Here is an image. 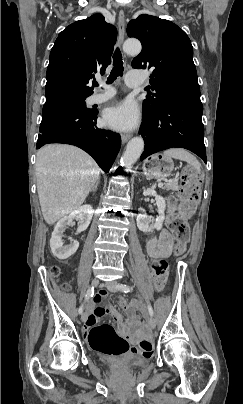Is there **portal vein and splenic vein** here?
I'll return each instance as SVG.
<instances>
[{"label": "portal vein and splenic vein", "instance_id": "portal-vein-and-splenic-vein-1", "mask_svg": "<svg viewBox=\"0 0 243 404\" xmlns=\"http://www.w3.org/2000/svg\"><path fill=\"white\" fill-rule=\"evenodd\" d=\"M162 186H163V182H162V181H159V182H158V188H162Z\"/></svg>", "mask_w": 243, "mask_h": 404}]
</instances>
